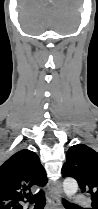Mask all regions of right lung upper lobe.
Masks as SVG:
<instances>
[{
  "mask_svg": "<svg viewBox=\"0 0 98 209\" xmlns=\"http://www.w3.org/2000/svg\"><path fill=\"white\" fill-rule=\"evenodd\" d=\"M46 171L33 151L23 149L0 166V209H23L32 186H45Z\"/></svg>",
  "mask_w": 98,
  "mask_h": 209,
  "instance_id": "1",
  "label": "right lung upper lobe"
}]
</instances>
